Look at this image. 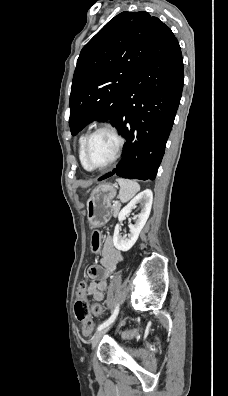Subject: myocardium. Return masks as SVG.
Instances as JSON below:
<instances>
[{
  "label": "myocardium",
  "instance_id": "f54148a6",
  "mask_svg": "<svg viewBox=\"0 0 228 396\" xmlns=\"http://www.w3.org/2000/svg\"><path fill=\"white\" fill-rule=\"evenodd\" d=\"M101 131H107V132L111 133L114 136V138L116 139V149H115L113 157L106 164H103V165H100V166H95V165H92L90 163V161H89V158H88V147H89V144H90V141H91L92 137L94 135H96L97 133L101 132ZM123 144H124L123 137L120 135V133L116 130L115 127H113L110 124L99 125L98 127H96L94 130H92L86 136L85 141H84V145H83V159H84V162H85L86 166L92 171H94V170H103V169H106V168L112 166L118 160V158L120 157V154H121L122 149H123Z\"/></svg>",
  "mask_w": 228,
  "mask_h": 396
}]
</instances>
